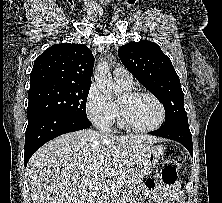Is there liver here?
Wrapping results in <instances>:
<instances>
[{"label":"liver","mask_w":222,"mask_h":203,"mask_svg":"<svg viewBox=\"0 0 222 203\" xmlns=\"http://www.w3.org/2000/svg\"><path fill=\"white\" fill-rule=\"evenodd\" d=\"M160 139L150 135L112 136L93 130L63 134L30 158L26 175L33 203H85L82 180L116 181Z\"/></svg>","instance_id":"6515ba94"}]
</instances>
